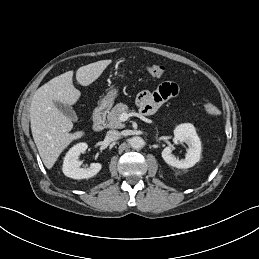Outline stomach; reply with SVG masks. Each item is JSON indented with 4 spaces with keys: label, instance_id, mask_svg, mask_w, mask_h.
<instances>
[{
    "label": "stomach",
    "instance_id": "obj_1",
    "mask_svg": "<svg viewBox=\"0 0 259 259\" xmlns=\"http://www.w3.org/2000/svg\"><path fill=\"white\" fill-rule=\"evenodd\" d=\"M118 96V89L116 87H112L108 90L105 96L100 99L99 104L102 106H111L114 103V100Z\"/></svg>",
    "mask_w": 259,
    "mask_h": 259
}]
</instances>
